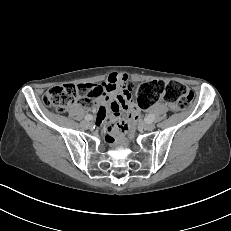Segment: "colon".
<instances>
[{
    "label": "colon",
    "instance_id": "colon-1",
    "mask_svg": "<svg viewBox=\"0 0 231 231\" xmlns=\"http://www.w3.org/2000/svg\"><path fill=\"white\" fill-rule=\"evenodd\" d=\"M128 91L133 90L131 84H127ZM138 108L144 109L159 100L166 101L172 110H184L192 102L193 94L184 85L175 81L153 80L140 84L136 89ZM90 90L86 85L64 84L48 89L42 96L45 106L58 112H65L77 101H89ZM138 119V109L131 111L127 122L118 124L121 132L128 133L132 124Z\"/></svg>",
    "mask_w": 231,
    "mask_h": 231
}]
</instances>
